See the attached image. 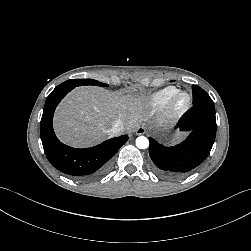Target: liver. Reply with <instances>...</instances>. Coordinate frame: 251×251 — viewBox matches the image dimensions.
Segmentation results:
<instances>
[{
    "instance_id": "6515ba94",
    "label": "liver",
    "mask_w": 251,
    "mask_h": 251,
    "mask_svg": "<svg viewBox=\"0 0 251 251\" xmlns=\"http://www.w3.org/2000/svg\"><path fill=\"white\" fill-rule=\"evenodd\" d=\"M128 129L143 120L140 99L97 87H80L60 104L55 127L60 138L73 146H87L111 135L115 121Z\"/></svg>"
}]
</instances>
